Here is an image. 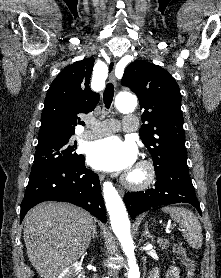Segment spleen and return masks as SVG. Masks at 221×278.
<instances>
[{"mask_svg":"<svg viewBox=\"0 0 221 278\" xmlns=\"http://www.w3.org/2000/svg\"><path fill=\"white\" fill-rule=\"evenodd\" d=\"M162 211L169 213L185 232V239L190 247L199 249L202 246V229L198 218L191 211L182 207L166 206Z\"/></svg>","mask_w":221,"mask_h":278,"instance_id":"obj_1","label":"spleen"}]
</instances>
